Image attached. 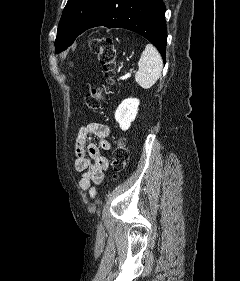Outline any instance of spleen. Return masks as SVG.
I'll return each instance as SVG.
<instances>
[{
  "label": "spleen",
  "mask_w": 240,
  "mask_h": 281,
  "mask_svg": "<svg viewBox=\"0 0 240 281\" xmlns=\"http://www.w3.org/2000/svg\"><path fill=\"white\" fill-rule=\"evenodd\" d=\"M138 66L139 70L135 74V81L143 89L151 88L159 79L163 67L162 58L152 44L146 45L138 61Z\"/></svg>",
  "instance_id": "3e777b00"
}]
</instances>
